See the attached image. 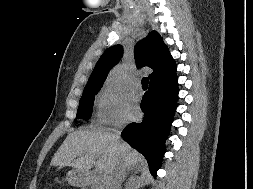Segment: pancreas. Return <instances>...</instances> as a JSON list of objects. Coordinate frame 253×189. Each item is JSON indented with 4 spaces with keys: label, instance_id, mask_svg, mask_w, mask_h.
<instances>
[{
    "label": "pancreas",
    "instance_id": "1",
    "mask_svg": "<svg viewBox=\"0 0 253 189\" xmlns=\"http://www.w3.org/2000/svg\"><path fill=\"white\" fill-rule=\"evenodd\" d=\"M91 189H103V180L99 175L91 177Z\"/></svg>",
    "mask_w": 253,
    "mask_h": 189
}]
</instances>
